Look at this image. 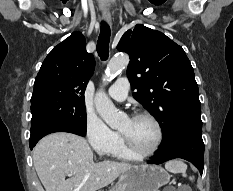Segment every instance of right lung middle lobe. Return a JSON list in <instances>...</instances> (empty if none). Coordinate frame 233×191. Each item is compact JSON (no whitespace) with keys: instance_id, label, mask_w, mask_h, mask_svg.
I'll return each mask as SVG.
<instances>
[{"instance_id":"right-lung-middle-lobe-1","label":"right lung middle lobe","mask_w":233,"mask_h":191,"mask_svg":"<svg viewBox=\"0 0 233 191\" xmlns=\"http://www.w3.org/2000/svg\"><path fill=\"white\" fill-rule=\"evenodd\" d=\"M31 132L44 126H66L86 134L85 103L47 96L31 100Z\"/></svg>"}]
</instances>
